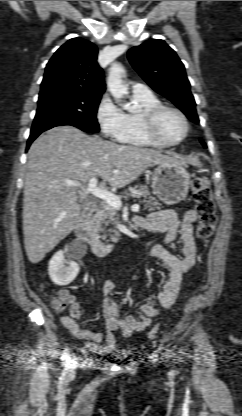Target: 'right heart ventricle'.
<instances>
[{
  "mask_svg": "<svg viewBox=\"0 0 242 416\" xmlns=\"http://www.w3.org/2000/svg\"><path fill=\"white\" fill-rule=\"evenodd\" d=\"M133 100L139 106V110L126 114V132L120 141L136 146L163 147L164 145L153 141L146 134L143 126V113L161 105V101L150 91L147 93H133Z\"/></svg>",
  "mask_w": 242,
  "mask_h": 416,
  "instance_id": "e07e8e85",
  "label": "right heart ventricle"
}]
</instances>
